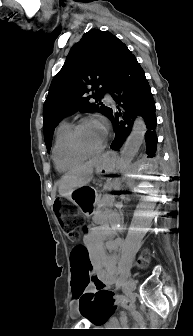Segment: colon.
Instances as JSON below:
<instances>
[{
  "mask_svg": "<svg viewBox=\"0 0 193 336\" xmlns=\"http://www.w3.org/2000/svg\"><path fill=\"white\" fill-rule=\"evenodd\" d=\"M57 216L65 231L70 237H75V229L81 224V217L75 207L66 199H59L55 203ZM84 232L87 231L86 227H83ZM147 262V256L144 255L141 259V263ZM71 266L74 274V297L79 301L81 313H88L90 303L94 301L97 296H101L104 299H111L110 293L102 287V282L97 279L95 289L91 292H85L87 285L89 284L90 277L89 271L91 268L88 260V254L84 246L76 247L71 253ZM118 300L131 307L125 297L119 296Z\"/></svg>",
  "mask_w": 193,
  "mask_h": 336,
  "instance_id": "1",
  "label": "colon"
}]
</instances>
